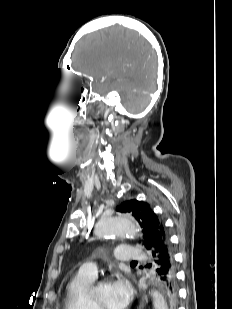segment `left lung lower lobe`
I'll use <instances>...</instances> for the list:
<instances>
[{
  "label": "left lung lower lobe",
  "instance_id": "1",
  "mask_svg": "<svg viewBox=\"0 0 232 309\" xmlns=\"http://www.w3.org/2000/svg\"><path fill=\"white\" fill-rule=\"evenodd\" d=\"M165 232L163 230L160 231L159 238L155 242L153 248L149 251L152 258V263L149 267H152L156 272L158 281L165 293V301L166 297L169 300V308L175 309V291V295L177 296L175 264L170 241Z\"/></svg>",
  "mask_w": 232,
  "mask_h": 309
}]
</instances>
